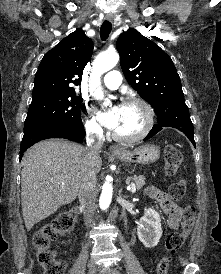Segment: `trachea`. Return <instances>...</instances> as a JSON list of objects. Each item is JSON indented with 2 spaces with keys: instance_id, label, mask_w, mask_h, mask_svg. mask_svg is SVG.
Returning <instances> with one entry per match:
<instances>
[{
  "instance_id": "trachea-1",
  "label": "trachea",
  "mask_w": 221,
  "mask_h": 274,
  "mask_svg": "<svg viewBox=\"0 0 221 274\" xmlns=\"http://www.w3.org/2000/svg\"><path fill=\"white\" fill-rule=\"evenodd\" d=\"M112 29V24L109 21H104L103 24L101 25L100 29V37L103 41H105L111 32Z\"/></svg>"
}]
</instances>
